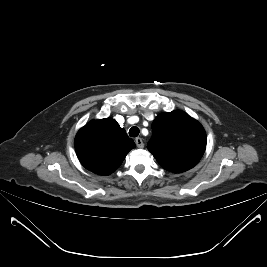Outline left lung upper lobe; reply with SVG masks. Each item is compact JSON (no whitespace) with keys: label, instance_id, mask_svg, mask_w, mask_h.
Segmentation results:
<instances>
[{"label":"left lung upper lobe","instance_id":"5c2ea615","mask_svg":"<svg viewBox=\"0 0 267 267\" xmlns=\"http://www.w3.org/2000/svg\"><path fill=\"white\" fill-rule=\"evenodd\" d=\"M153 135L147 144L160 166L180 173L193 168L206 148L202 125L183 111L161 113L152 123Z\"/></svg>","mask_w":267,"mask_h":267}]
</instances>
